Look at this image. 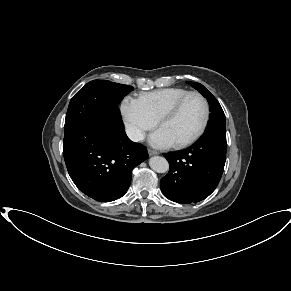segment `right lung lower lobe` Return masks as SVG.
Wrapping results in <instances>:
<instances>
[{"label":"right lung lower lobe","mask_w":291,"mask_h":291,"mask_svg":"<svg viewBox=\"0 0 291 291\" xmlns=\"http://www.w3.org/2000/svg\"><path fill=\"white\" fill-rule=\"evenodd\" d=\"M63 155L75 185L100 202L122 197L132 169L148 158L146 147L125 134L119 110L90 123L65 121Z\"/></svg>","instance_id":"1"}]
</instances>
